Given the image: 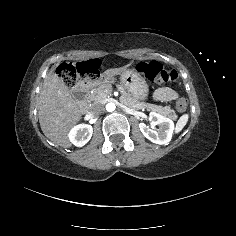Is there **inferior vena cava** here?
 Wrapping results in <instances>:
<instances>
[{
  "instance_id": "obj_1",
  "label": "inferior vena cava",
  "mask_w": 236,
  "mask_h": 236,
  "mask_svg": "<svg viewBox=\"0 0 236 236\" xmlns=\"http://www.w3.org/2000/svg\"><path fill=\"white\" fill-rule=\"evenodd\" d=\"M103 110V105L102 104H94L91 109H90V112L93 114V115H97L98 113H100L101 111Z\"/></svg>"
}]
</instances>
